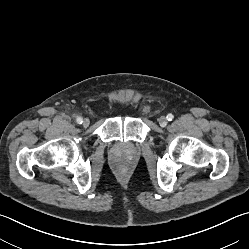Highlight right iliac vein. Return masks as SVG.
I'll return each instance as SVG.
<instances>
[{"label": "right iliac vein", "mask_w": 249, "mask_h": 249, "mask_svg": "<svg viewBox=\"0 0 249 249\" xmlns=\"http://www.w3.org/2000/svg\"><path fill=\"white\" fill-rule=\"evenodd\" d=\"M83 126L84 127H88L89 126V124H90V120L89 119H87V118H85L84 120H83Z\"/></svg>", "instance_id": "63e3f726"}]
</instances>
